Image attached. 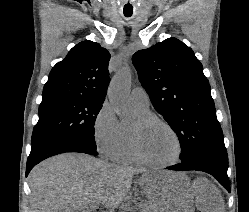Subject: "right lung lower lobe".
<instances>
[{"label":"right lung lower lobe","instance_id":"right-lung-lower-lobe-1","mask_svg":"<svg viewBox=\"0 0 249 212\" xmlns=\"http://www.w3.org/2000/svg\"><path fill=\"white\" fill-rule=\"evenodd\" d=\"M65 152H80L97 155L96 150H92L82 141L73 137L59 136L41 139L32 144V149L26 165V176L31 169L42 160Z\"/></svg>","mask_w":249,"mask_h":212}]
</instances>
